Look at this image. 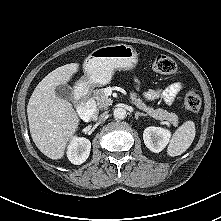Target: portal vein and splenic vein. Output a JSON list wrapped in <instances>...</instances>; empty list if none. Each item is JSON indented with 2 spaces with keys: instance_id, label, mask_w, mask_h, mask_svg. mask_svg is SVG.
Returning <instances> with one entry per match:
<instances>
[{
  "instance_id": "portal-vein-and-splenic-vein-1",
  "label": "portal vein and splenic vein",
  "mask_w": 221,
  "mask_h": 221,
  "mask_svg": "<svg viewBox=\"0 0 221 221\" xmlns=\"http://www.w3.org/2000/svg\"><path fill=\"white\" fill-rule=\"evenodd\" d=\"M112 93V88H106L105 89V94L108 96V95H111Z\"/></svg>"
}]
</instances>
